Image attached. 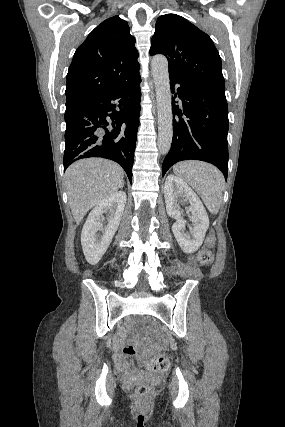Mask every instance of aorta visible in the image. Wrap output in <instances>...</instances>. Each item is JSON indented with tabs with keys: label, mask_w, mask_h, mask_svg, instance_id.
Returning <instances> with one entry per match:
<instances>
[{
	"label": "aorta",
	"mask_w": 285,
	"mask_h": 427,
	"mask_svg": "<svg viewBox=\"0 0 285 427\" xmlns=\"http://www.w3.org/2000/svg\"><path fill=\"white\" fill-rule=\"evenodd\" d=\"M155 84L158 113V149L162 155L168 154L173 137V115L168 61L163 55H155L151 61Z\"/></svg>",
	"instance_id": "aorta-1"
}]
</instances>
